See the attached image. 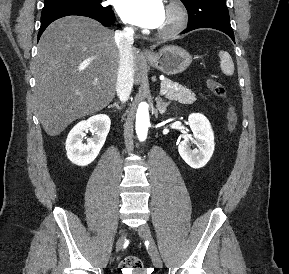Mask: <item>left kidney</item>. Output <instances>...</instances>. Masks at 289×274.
<instances>
[{
	"mask_svg": "<svg viewBox=\"0 0 289 274\" xmlns=\"http://www.w3.org/2000/svg\"><path fill=\"white\" fill-rule=\"evenodd\" d=\"M188 122L193 132V138L182 141L178 146V151L190 167L198 169L207 164L214 152V133L210 122L202 114H190ZM190 141L194 142L197 148L192 150Z\"/></svg>",
	"mask_w": 289,
	"mask_h": 274,
	"instance_id": "obj_1",
	"label": "left kidney"
}]
</instances>
